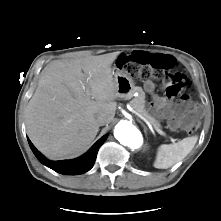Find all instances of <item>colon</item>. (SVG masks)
Returning <instances> with one entry per match:
<instances>
[{"label": "colon", "mask_w": 221, "mask_h": 221, "mask_svg": "<svg viewBox=\"0 0 221 221\" xmlns=\"http://www.w3.org/2000/svg\"><path fill=\"white\" fill-rule=\"evenodd\" d=\"M118 68L127 75L141 79H156L162 81L166 93L170 97L180 96L183 104L182 112L177 115L174 122L181 123L184 119L189 118V123L185 126L188 134L197 131L198 113H191L189 109V94L192 90L191 82L181 72L175 71L176 60L170 55L152 54L145 52H136L134 58L122 54L117 59Z\"/></svg>", "instance_id": "colon-1"}]
</instances>
